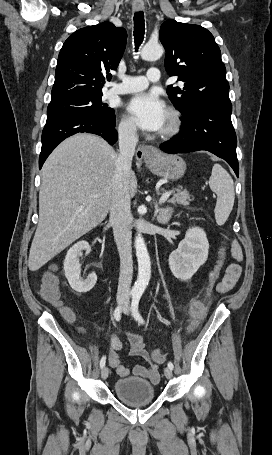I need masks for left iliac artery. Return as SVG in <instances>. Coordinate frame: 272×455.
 Wrapping results in <instances>:
<instances>
[{
  "mask_svg": "<svg viewBox=\"0 0 272 455\" xmlns=\"http://www.w3.org/2000/svg\"><path fill=\"white\" fill-rule=\"evenodd\" d=\"M140 298H141V294H139V293L134 294L133 299H132V303H131V311H132V315H133L134 319L136 321H138L140 324H144L145 321H144V319L142 318V316L140 315V313L138 311ZM168 367L171 370H173V368H174L173 363L169 361L168 362Z\"/></svg>",
  "mask_w": 272,
  "mask_h": 455,
  "instance_id": "1",
  "label": "left iliac artery"
}]
</instances>
